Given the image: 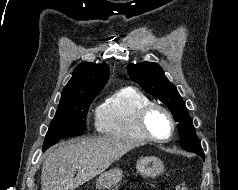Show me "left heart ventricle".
<instances>
[{
    "instance_id": "obj_1",
    "label": "left heart ventricle",
    "mask_w": 238,
    "mask_h": 190,
    "mask_svg": "<svg viewBox=\"0 0 238 190\" xmlns=\"http://www.w3.org/2000/svg\"><path fill=\"white\" fill-rule=\"evenodd\" d=\"M150 130L157 136L164 137L169 133L170 123L168 118L160 111H154L148 120Z\"/></svg>"
}]
</instances>
